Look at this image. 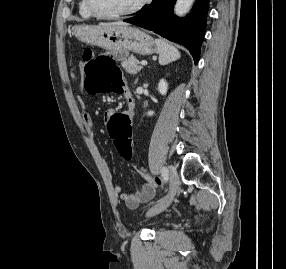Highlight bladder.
Returning <instances> with one entry per match:
<instances>
[{
	"label": "bladder",
	"mask_w": 286,
	"mask_h": 269,
	"mask_svg": "<svg viewBox=\"0 0 286 269\" xmlns=\"http://www.w3.org/2000/svg\"><path fill=\"white\" fill-rule=\"evenodd\" d=\"M146 218H148V217L146 216ZM162 222H163V219H157V220L151 221L149 224H150L152 227H155V226L161 224Z\"/></svg>",
	"instance_id": "bladder-1"
}]
</instances>
